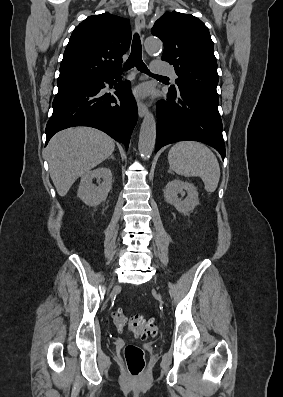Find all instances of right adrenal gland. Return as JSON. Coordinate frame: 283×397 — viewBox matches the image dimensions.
Listing matches in <instances>:
<instances>
[{
  "instance_id": "2a0ac1e0",
  "label": "right adrenal gland",
  "mask_w": 283,
  "mask_h": 397,
  "mask_svg": "<svg viewBox=\"0 0 283 397\" xmlns=\"http://www.w3.org/2000/svg\"><path fill=\"white\" fill-rule=\"evenodd\" d=\"M110 159H114V160H115V158H114V156H113V155H111Z\"/></svg>"
}]
</instances>
